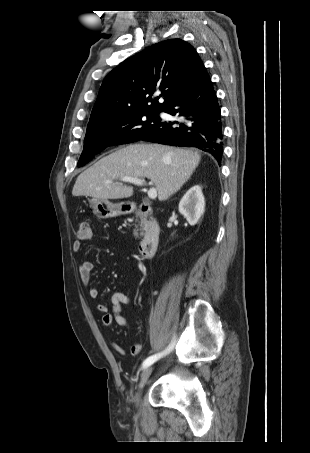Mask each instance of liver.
<instances>
[{
	"instance_id": "6515ba94",
	"label": "liver",
	"mask_w": 310,
	"mask_h": 453,
	"mask_svg": "<svg viewBox=\"0 0 310 453\" xmlns=\"http://www.w3.org/2000/svg\"><path fill=\"white\" fill-rule=\"evenodd\" d=\"M198 152L160 144H132L101 158L76 179L72 195L97 199H122L133 187L115 181L121 177L148 178L159 201L175 194L200 162ZM112 183L107 184L106 181Z\"/></svg>"
}]
</instances>
